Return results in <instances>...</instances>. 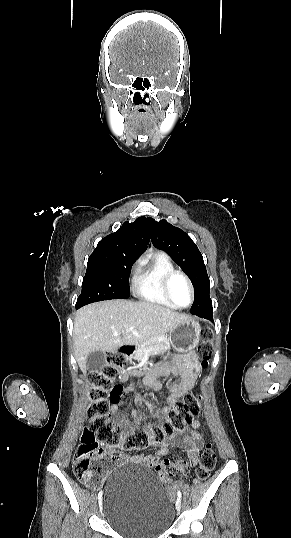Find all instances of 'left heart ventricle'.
I'll list each match as a JSON object with an SVG mask.
<instances>
[{"label": "left heart ventricle", "mask_w": 291, "mask_h": 538, "mask_svg": "<svg viewBox=\"0 0 291 538\" xmlns=\"http://www.w3.org/2000/svg\"><path fill=\"white\" fill-rule=\"evenodd\" d=\"M171 295L174 302L179 306H186L189 303V287L182 277L177 276L172 280Z\"/></svg>", "instance_id": "b2bd125f"}]
</instances>
